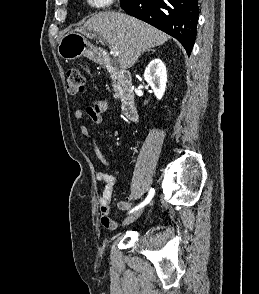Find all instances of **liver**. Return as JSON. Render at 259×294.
I'll list each match as a JSON object with an SVG mask.
<instances>
[{"mask_svg": "<svg viewBox=\"0 0 259 294\" xmlns=\"http://www.w3.org/2000/svg\"><path fill=\"white\" fill-rule=\"evenodd\" d=\"M76 31L99 36L116 47L120 52L118 63L122 69L132 67L142 52L160 46L169 39L166 33L120 12L97 13Z\"/></svg>", "mask_w": 259, "mask_h": 294, "instance_id": "obj_1", "label": "liver"}]
</instances>
